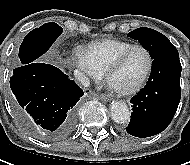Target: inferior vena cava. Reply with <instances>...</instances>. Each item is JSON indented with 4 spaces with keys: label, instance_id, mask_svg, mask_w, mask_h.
I'll list each match as a JSON object with an SVG mask.
<instances>
[{
    "label": "inferior vena cava",
    "instance_id": "inferior-vena-cava-1",
    "mask_svg": "<svg viewBox=\"0 0 190 165\" xmlns=\"http://www.w3.org/2000/svg\"><path fill=\"white\" fill-rule=\"evenodd\" d=\"M75 78L85 87H88L90 85V81L88 77H86L82 72L79 70L74 71Z\"/></svg>",
    "mask_w": 190,
    "mask_h": 165
}]
</instances>
